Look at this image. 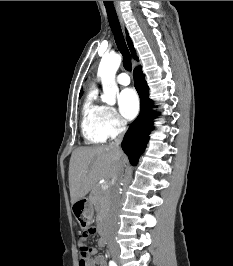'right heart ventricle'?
Returning a JSON list of instances; mask_svg holds the SVG:
<instances>
[{"mask_svg":"<svg viewBox=\"0 0 233 266\" xmlns=\"http://www.w3.org/2000/svg\"><path fill=\"white\" fill-rule=\"evenodd\" d=\"M96 95V89H92L82 107L81 130L89 144H99L106 140L101 130L104 106L96 102Z\"/></svg>","mask_w":233,"mask_h":266,"instance_id":"right-heart-ventricle-1","label":"right heart ventricle"}]
</instances>
